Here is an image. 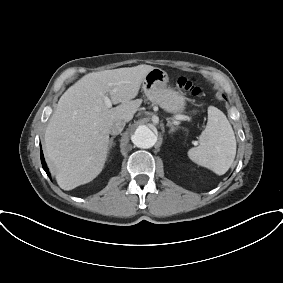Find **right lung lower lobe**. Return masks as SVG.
I'll return each instance as SVG.
<instances>
[{
  "label": "right lung lower lobe",
  "instance_id": "obj_1",
  "mask_svg": "<svg viewBox=\"0 0 283 283\" xmlns=\"http://www.w3.org/2000/svg\"><path fill=\"white\" fill-rule=\"evenodd\" d=\"M40 156H41L42 167H43V169L46 171L47 175L50 177V173H49L48 168H47V166H46V163H45V160H44V157H43L42 150L40 151Z\"/></svg>",
  "mask_w": 283,
  "mask_h": 283
}]
</instances>
